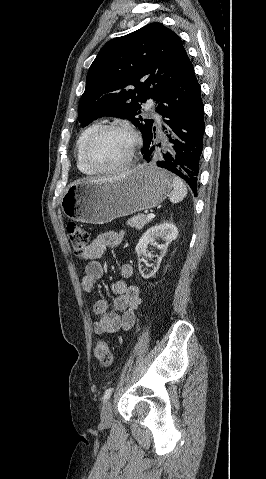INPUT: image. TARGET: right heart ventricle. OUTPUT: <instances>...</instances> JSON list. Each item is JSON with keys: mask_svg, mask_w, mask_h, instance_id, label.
I'll use <instances>...</instances> for the list:
<instances>
[{"mask_svg": "<svg viewBox=\"0 0 266 479\" xmlns=\"http://www.w3.org/2000/svg\"><path fill=\"white\" fill-rule=\"evenodd\" d=\"M100 126L99 123L94 122L88 125L79 135L77 142H76V164L78 170L87 176H91L94 173L87 167L84 158H83V151L87 139L89 136Z\"/></svg>", "mask_w": 266, "mask_h": 479, "instance_id": "right-heart-ventricle-1", "label": "right heart ventricle"}]
</instances>
